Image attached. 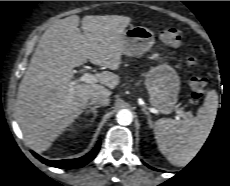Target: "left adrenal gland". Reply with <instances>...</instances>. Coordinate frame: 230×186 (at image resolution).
<instances>
[{"label": "left adrenal gland", "instance_id": "left-adrenal-gland-1", "mask_svg": "<svg viewBox=\"0 0 230 186\" xmlns=\"http://www.w3.org/2000/svg\"><path fill=\"white\" fill-rule=\"evenodd\" d=\"M142 111L145 113V115H147L148 123H149L150 127H152L153 124H152V120H151V116H150L149 112L145 108H142Z\"/></svg>", "mask_w": 230, "mask_h": 186}]
</instances>
